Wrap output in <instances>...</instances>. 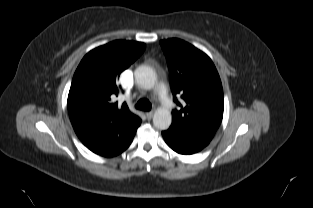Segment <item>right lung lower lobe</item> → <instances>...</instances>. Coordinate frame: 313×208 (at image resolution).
<instances>
[{"instance_id":"98d812e1","label":"right lung lower lobe","mask_w":313,"mask_h":208,"mask_svg":"<svg viewBox=\"0 0 313 208\" xmlns=\"http://www.w3.org/2000/svg\"><path fill=\"white\" fill-rule=\"evenodd\" d=\"M140 123L141 121L129 132L119 127L75 132L82 143L92 152L104 157H113L129 147Z\"/></svg>"}]
</instances>
